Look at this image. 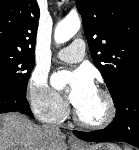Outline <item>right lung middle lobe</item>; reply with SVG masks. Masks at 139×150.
<instances>
[{
	"label": "right lung middle lobe",
	"instance_id": "right-lung-middle-lobe-1",
	"mask_svg": "<svg viewBox=\"0 0 139 150\" xmlns=\"http://www.w3.org/2000/svg\"><path fill=\"white\" fill-rule=\"evenodd\" d=\"M34 56L0 50V87L26 94Z\"/></svg>",
	"mask_w": 139,
	"mask_h": 150
}]
</instances>
